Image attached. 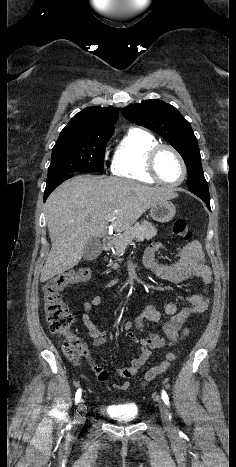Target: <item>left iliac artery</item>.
<instances>
[{
  "mask_svg": "<svg viewBox=\"0 0 236 467\" xmlns=\"http://www.w3.org/2000/svg\"><path fill=\"white\" fill-rule=\"evenodd\" d=\"M162 399H163L164 403H165L167 406H169V397H168V395H167V393H166L165 390H162Z\"/></svg>",
  "mask_w": 236,
  "mask_h": 467,
  "instance_id": "left-iliac-artery-1",
  "label": "left iliac artery"
}]
</instances>
